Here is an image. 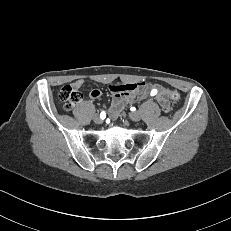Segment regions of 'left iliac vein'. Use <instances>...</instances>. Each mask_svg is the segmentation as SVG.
I'll use <instances>...</instances> for the list:
<instances>
[{
  "label": "left iliac vein",
  "mask_w": 231,
  "mask_h": 231,
  "mask_svg": "<svg viewBox=\"0 0 231 231\" xmlns=\"http://www.w3.org/2000/svg\"><path fill=\"white\" fill-rule=\"evenodd\" d=\"M129 117L132 121L138 122L141 119V114L139 112H132Z\"/></svg>",
  "instance_id": "4c4485c4"
}]
</instances>
